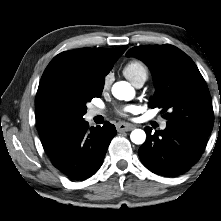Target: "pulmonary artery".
<instances>
[{
  "label": "pulmonary artery",
  "mask_w": 221,
  "mask_h": 221,
  "mask_svg": "<svg viewBox=\"0 0 221 221\" xmlns=\"http://www.w3.org/2000/svg\"><path fill=\"white\" fill-rule=\"evenodd\" d=\"M145 81H146V78H140V79L136 80L133 83V85L136 88H141L143 86V84L145 83ZM101 113H102V111L100 109L94 108V109L90 110L89 115L91 117H94V116L101 114ZM165 127H166V123H162L161 128L164 129Z\"/></svg>",
  "instance_id": "1"
}]
</instances>
